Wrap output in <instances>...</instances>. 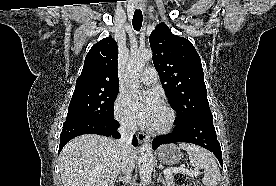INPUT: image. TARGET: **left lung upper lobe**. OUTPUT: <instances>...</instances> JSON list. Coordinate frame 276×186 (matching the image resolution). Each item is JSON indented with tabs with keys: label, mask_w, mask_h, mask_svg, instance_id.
<instances>
[{
	"label": "left lung upper lobe",
	"mask_w": 276,
	"mask_h": 186,
	"mask_svg": "<svg viewBox=\"0 0 276 186\" xmlns=\"http://www.w3.org/2000/svg\"><path fill=\"white\" fill-rule=\"evenodd\" d=\"M149 41L154 66L178 114L175 125L211 116L201 60L192 43L172 34L165 24L156 26Z\"/></svg>",
	"instance_id": "1"
}]
</instances>
